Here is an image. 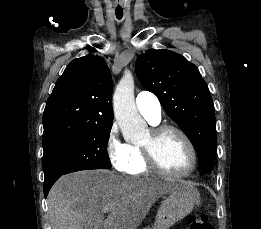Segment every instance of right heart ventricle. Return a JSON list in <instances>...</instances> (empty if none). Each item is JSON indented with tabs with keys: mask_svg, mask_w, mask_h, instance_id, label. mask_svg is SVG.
Here are the masks:
<instances>
[{
	"mask_svg": "<svg viewBox=\"0 0 261 229\" xmlns=\"http://www.w3.org/2000/svg\"><path fill=\"white\" fill-rule=\"evenodd\" d=\"M157 125V124H156ZM132 155V164L128 173L133 175H146L150 171L144 150L140 144H129Z\"/></svg>",
	"mask_w": 261,
	"mask_h": 229,
	"instance_id": "right-heart-ventricle-1",
	"label": "right heart ventricle"
}]
</instances>
